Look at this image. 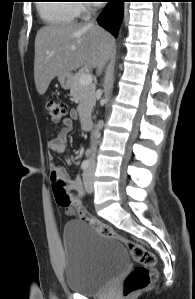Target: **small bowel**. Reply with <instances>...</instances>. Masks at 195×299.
<instances>
[{
	"label": "small bowel",
	"mask_w": 195,
	"mask_h": 299,
	"mask_svg": "<svg viewBox=\"0 0 195 299\" xmlns=\"http://www.w3.org/2000/svg\"><path fill=\"white\" fill-rule=\"evenodd\" d=\"M75 115L76 113L74 111H71L70 115L62 120V129L54 138H52L48 142V149L51 152L57 154H65L67 152L66 139L73 128V120L75 118ZM67 161L68 163L72 162L70 158H68ZM51 174L53 178L60 176L67 182V190L69 192L75 191V194L73 195L74 198L81 199L85 196L86 192L79 176L72 177L62 167L55 164L51 165ZM66 209L70 213H74L75 211L74 207H68Z\"/></svg>",
	"instance_id": "1"
}]
</instances>
